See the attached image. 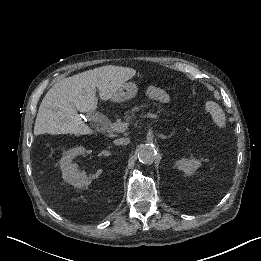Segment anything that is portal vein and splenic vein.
<instances>
[{"mask_svg": "<svg viewBox=\"0 0 261 261\" xmlns=\"http://www.w3.org/2000/svg\"><path fill=\"white\" fill-rule=\"evenodd\" d=\"M151 118L152 120H155L157 118V115L155 113H145L143 114V119H149ZM129 127V123L127 122H115L112 124L113 130L119 133L125 132Z\"/></svg>", "mask_w": 261, "mask_h": 261, "instance_id": "obj_1", "label": "portal vein and splenic vein"}]
</instances>
